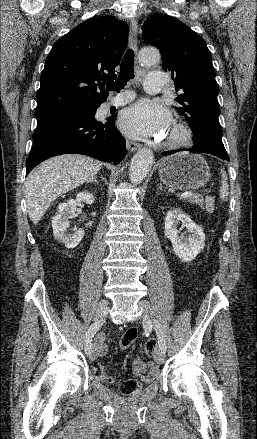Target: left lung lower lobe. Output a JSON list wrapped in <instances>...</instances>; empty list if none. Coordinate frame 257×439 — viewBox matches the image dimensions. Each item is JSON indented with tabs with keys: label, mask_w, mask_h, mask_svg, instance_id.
<instances>
[{
	"label": "left lung lower lobe",
	"mask_w": 257,
	"mask_h": 439,
	"mask_svg": "<svg viewBox=\"0 0 257 439\" xmlns=\"http://www.w3.org/2000/svg\"><path fill=\"white\" fill-rule=\"evenodd\" d=\"M181 151H183V150H181ZM185 151L194 152V153H207V154L217 156L220 159L230 161L229 156H228L224 147H218V146H215V145L210 144V143L200 145V146L193 145V147L191 149H185ZM175 152H179V150L166 151V152L162 153V155L167 156V155L173 154Z\"/></svg>",
	"instance_id": "1"
}]
</instances>
